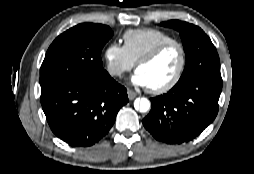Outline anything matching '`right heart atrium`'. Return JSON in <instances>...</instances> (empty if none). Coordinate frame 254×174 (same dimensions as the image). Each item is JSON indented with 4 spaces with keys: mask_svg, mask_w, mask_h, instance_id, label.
I'll return each mask as SVG.
<instances>
[{
    "mask_svg": "<svg viewBox=\"0 0 254 174\" xmlns=\"http://www.w3.org/2000/svg\"><path fill=\"white\" fill-rule=\"evenodd\" d=\"M103 59L107 72L113 77H121L135 65L124 46L117 42H111L105 47Z\"/></svg>",
    "mask_w": 254,
    "mask_h": 174,
    "instance_id": "d8ad5b80",
    "label": "right heart atrium"
}]
</instances>
